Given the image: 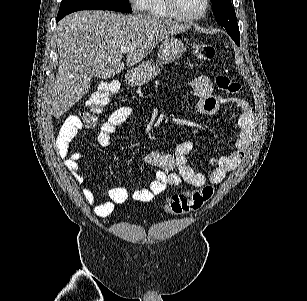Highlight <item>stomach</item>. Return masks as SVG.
Masks as SVG:
<instances>
[{
  "mask_svg": "<svg viewBox=\"0 0 307 301\" xmlns=\"http://www.w3.org/2000/svg\"><path fill=\"white\" fill-rule=\"evenodd\" d=\"M186 48L187 44H184L183 40L176 38V36L165 38L158 46L156 62H153V60H143L137 66L130 68L127 74H125L127 84L141 86V84L150 82L160 72L163 64H169V62H174V60L180 58Z\"/></svg>",
  "mask_w": 307,
  "mask_h": 301,
  "instance_id": "1",
  "label": "stomach"
}]
</instances>
